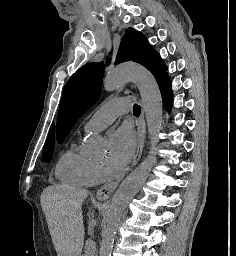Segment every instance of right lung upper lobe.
<instances>
[{
  "label": "right lung upper lobe",
  "mask_w": 236,
  "mask_h": 256,
  "mask_svg": "<svg viewBox=\"0 0 236 256\" xmlns=\"http://www.w3.org/2000/svg\"><path fill=\"white\" fill-rule=\"evenodd\" d=\"M55 127L53 126L51 131H50V134H49V138H48V141L47 142H54V129Z\"/></svg>",
  "instance_id": "obj_1"
}]
</instances>
